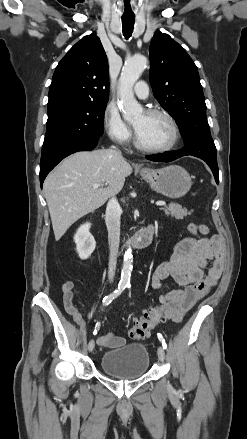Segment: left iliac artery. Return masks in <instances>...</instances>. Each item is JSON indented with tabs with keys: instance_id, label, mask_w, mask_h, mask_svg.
I'll return each instance as SVG.
<instances>
[{
	"instance_id": "1",
	"label": "left iliac artery",
	"mask_w": 247,
	"mask_h": 439,
	"mask_svg": "<svg viewBox=\"0 0 247 439\" xmlns=\"http://www.w3.org/2000/svg\"><path fill=\"white\" fill-rule=\"evenodd\" d=\"M127 287L130 288L131 285L128 284ZM157 335H158V338H159L160 342L162 343L163 348L167 349V344H166L165 339L163 338V336L160 333H158Z\"/></svg>"
}]
</instances>
